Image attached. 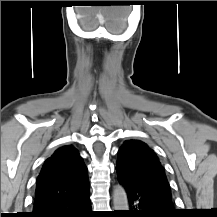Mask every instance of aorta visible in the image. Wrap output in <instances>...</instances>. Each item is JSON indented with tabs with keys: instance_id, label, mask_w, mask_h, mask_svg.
I'll return each instance as SVG.
<instances>
[{
	"instance_id": "aorta-1",
	"label": "aorta",
	"mask_w": 217,
	"mask_h": 217,
	"mask_svg": "<svg viewBox=\"0 0 217 217\" xmlns=\"http://www.w3.org/2000/svg\"><path fill=\"white\" fill-rule=\"evenodd\" d=\"M113 208L114 210H129L127 194L121 185H116L113 189Z\"/></svg>"
}]
</instances>
